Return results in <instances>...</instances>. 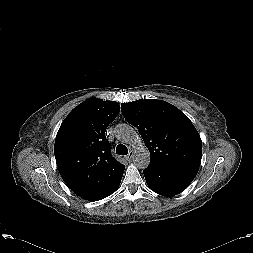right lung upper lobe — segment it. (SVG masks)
I'll use <instances>...</instances> for the list:
<instances>
[{"mask_svg":"<svg viewBox=\"0 0 253 253\" xmlns=\"http://www.w3.org/2000/svg\"><path fill=\"white\" fill-rule=\"evenodd\" d=\"M119 111L115 101L90 98L75 107L58 130L54 145L57 167L69 188L86 200L123 175L125 166L112 157L105 136Z\"/></svg>","mask_w":253,"mask_h":253,"instance_id":"1","label":"right lung upper lobe"}]
</instances>
